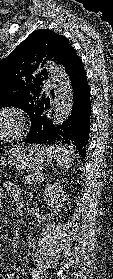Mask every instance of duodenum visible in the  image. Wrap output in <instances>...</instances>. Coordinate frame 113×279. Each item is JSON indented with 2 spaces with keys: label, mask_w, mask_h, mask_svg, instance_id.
I'll list each match as a JSON object with an SVG mask.
<instances>
[{
  "label": "duodenum",
  "mask_w": 113,
  "mask_h": 279,
  "mask_svg": "<svg viewBox=\"0 0 113 279\" xmlns=\"http://www.w3.org/2000/svg\"><path fill=\"white\" fill-rule=\"evenodd\" d=\"M19 209H21V207H20ZM14 243H15V244H18V243H19V238H15V239H14Z\"/></svg>",
  "instance_id": "obj_1"
}]
</instances>
